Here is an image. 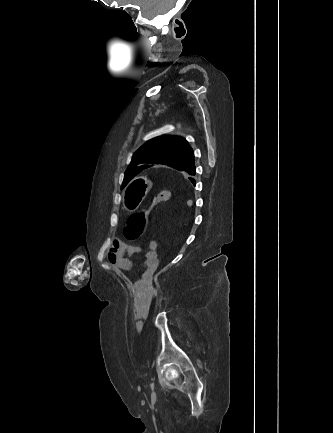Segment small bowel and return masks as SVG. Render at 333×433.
<instances>
[{
  "mask_svg": "<svg viewBox=\"0 0 333 433\" xmlns=\"http://www.w3.org/2000/svg\"><path fill=\"white\" fill-rule=\"evenodd\" d=\"M157 247V242L152 241L149 245V251L143 256L140 268L144 271L145 275L153 274L159 267ZM140 252L141 248L139 246L113 243L108 251V260L113 266L129 270L133 268V262L127 257V255L131 257ZM157 295L158 289L152 285L144 289L132 288V314L133 318L136 320L135 327L137 331H141L143 327V319H146L149 316L152 303Z\"/></svg>",
  "mask_w": 333,
  "mask_h": 433,
  "instance_id": "small-bowel-1",
  "label": "small bowel"
}]
</instances>
